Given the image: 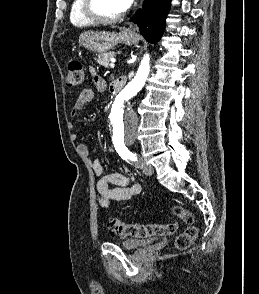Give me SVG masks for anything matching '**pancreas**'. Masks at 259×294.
<instances>
[{"label": "pancreas", "mask_w": 259, "mask_h": 294, "mask_svg": "<svg viewBox=\"0 0 259 294\" xmlns=\"http://www.w3.org/2000/svg\"><path fill=\"white\" fill-rule=\"evenodd\" d=\"M114 56H115L114 52L102 53L98 55V58L96 61L98 64L108 68L111 58H113Z\"/></svg>", "instance_id": "obj_1"}]
</instances>
